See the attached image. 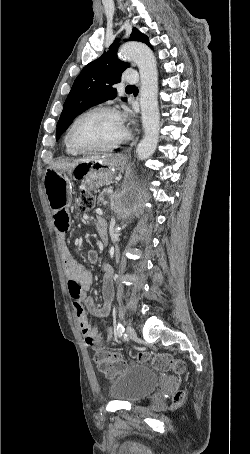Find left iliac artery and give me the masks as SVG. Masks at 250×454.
<instances>
[{
    "mask_svg": "<svg viewBox=\"0 0 250 454\" xmlns=\"http://www.w3.org/2000/svg\"><path fill=\"white\" fill-rule=\"evenodd\" d=\"M123 332H124V326H123L122 322H118L117 329H116V333H117L118 337H121Z\"/></svg>",
    "mask_w": 250,
    "mask_h": 454,
    "instance_id": "left-iliac-artery-1",
    "label": "left iliac artery"
}]
</instances>
